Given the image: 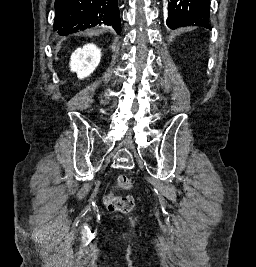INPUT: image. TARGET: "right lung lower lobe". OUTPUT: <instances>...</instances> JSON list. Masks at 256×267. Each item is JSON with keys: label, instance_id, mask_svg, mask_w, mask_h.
I'll return each instance as SVG.
<instances>
[{"label": "right lung lower lobe", "instance_id": "1", "mask_svg": "<svg viewBox=\"0 0 256 267\" xmlns=\"http://www.w3.org/2000/svg\"><path fill=\"white\" fill-rule=\"evenodd\" d=\"M117 0H56L53 28L65 36L98 24L121 32Z\"/></svg>", "mask_w": 256, "mask_h": 267}]
</instances>
